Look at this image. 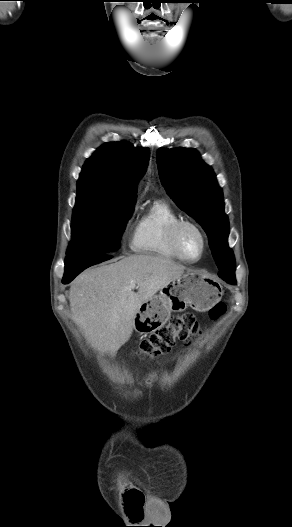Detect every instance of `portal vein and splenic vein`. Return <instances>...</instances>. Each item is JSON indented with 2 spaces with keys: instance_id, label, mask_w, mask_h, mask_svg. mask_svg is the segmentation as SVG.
Masks as SVG:
<instances>
[{
  "instance_id": "portal-vein-and-splenic-vein-1",
  "label": "portal vein and splenic vein",
  "mask_w": 292,
  "mask_h": 527,
  "mask_svg": "<svg viewBox=\"0 0 292 527\" xmlns=\"http://www.w3.org/2000/svg\"><path fill=\"white\" fill-rule=\"evenodd\" d=\"M131 288H135L136 287V283L135 282H131Z\"/></svg>"
}]
</instances>
